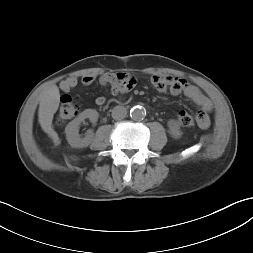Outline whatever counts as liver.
<instances>
[{
    "instance_id": "liver-1",
    "label": "liver",
    "mask_w": 253,
    "mask_h": 253,
    "mask_svg": "<svg viewBox=\"0 0 253 253\" xmlns=\"http://www.w3.org/2000/svg\"><path fill=\"white\" fill-rule=\"evenodd\" d=\"M60 102V92L56 85H52L43 90L40 94L38 109V121L42 130L48 134L55 145L60 144L57 132L53 129V117L58 110Z\"/></svg>"
}]
</instances>
